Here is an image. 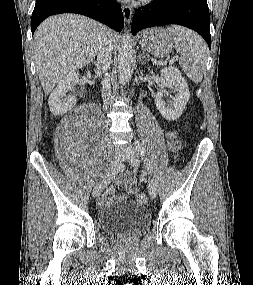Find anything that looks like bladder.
I'll list each match as a JSON object with an SVG mask.
<instances>
[{
  "label": "bladder",
  "instance_id": "31cf9c89",
  "mask_svg": "<svg viewBox=\"0 0 253 285\" xmlns=\"http://www.w3.org/2000/svg\"><path fill=\"white\" fill-rule=\"evenodd\" d=\"M98 221L104 233L130 237L140 235L149 227L150 214L144 206L129 202L102 208Z\"/></svg>",
  "mask_w": 253,
  "mask_h": 285
}]
</instances>
